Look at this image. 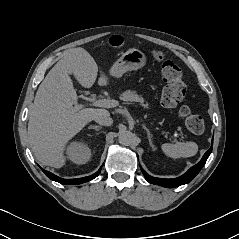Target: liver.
Returning <instances> with one entry per match:
<instances>
[{
  "label": "liver",
  "instance_id": "obj_1",
  "mask_svg": "<svg viewBox=\"0 0 239 239\" xmlns=\"http://www.w3.org/2000/svg\"><path fill=\"white\" fill-rule=\"evenodd\" d=\"M70 74L82 87L90 88L96 81L98 65L85 49L68 50L40 84L30 110L28 136L32 151L42 165L54 168L64 166L67 142L104 110H75L78 96ZM108 84V77L100 72L98 85Z\"/></svg>",
  "mask_w": 239,
  "mask_h": 239
}]
</instances>
